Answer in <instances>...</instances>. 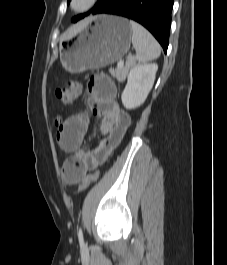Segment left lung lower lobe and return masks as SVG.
<instances>
[{"instance_id": "obj_1", "label": "left lung lower lobe", "mask_w": 227, "mask_h": 265, "mask_svg": "<svg viewBox=\"0 0 227 265\" xmlns=\"http://www.w3.org/2000/svg\"><path fill=\"white\" fill-rule=\"evenodd\" d=\"M174 0H107L93 14H114L146 27L167 52Z\"/></svg>"}]
</instances>
